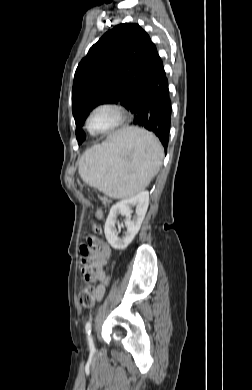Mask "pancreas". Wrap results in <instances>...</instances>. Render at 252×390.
Segmentation results:
<instances>
[{
    "label": "pancreas",
    "instance_id": "obj_1",
    "mask_svg": "<svg viewBox=\"0 0 252 390\" xmlns=\"http://www.w3.org/2000/svg\"><path fill=\"white\" fill-rule=\"evenodd\" d=\"M103 203H104L105 205H107V204H109V203H110V200H108V199L104 198V199H103Z\"/></svg>",
    "mask_w": 252,
    "mask_h": 390
}]
</instances>
